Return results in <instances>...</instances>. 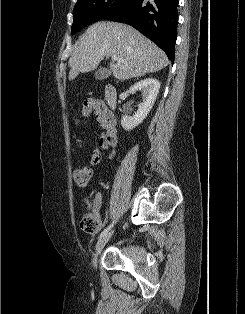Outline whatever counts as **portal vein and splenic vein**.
Returning <instances> with one entry per match:
<instances>
[{
  "instance_id": "1",
  "label": "portal vein and splenic vein",
  "mask_w": 245,
  "mask_h": 314,
  "mask_svg": "<svg viewBox=\"0 0 245 314\" xmlns=\"http://www.w3.org/2000/svg\"><path fill=\"white\" fill-rule=\"evenodd\" d=\"M112 60L113 61H117L118 60V57L116 55L112 56Z\"/></svg>"
}]
</instances>
